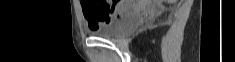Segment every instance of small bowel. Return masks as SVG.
I'll use <instances>...</instances> for the list:
<instances>
[{
  "mask_svg": "<svg viewBox=\"0 0 235 62\" xmlns=\"http://www.w3.org/2000/svg\"><path fill=\"white\" fill-rule=\"evenodd\" d=\"M83 11H84V6H83ZM84 17H85V19L88 22V27H89L90 30H95V29L99 28L103 24V23L95 24V22L92 21L91 19H89L88 17H86L85 14H84Z\"/></svg>",
  "mask_w": 235,
  "mask_h": 62,
  "instance_id": "obj_1",
  "label": "small bowel"
}]
</instances>
